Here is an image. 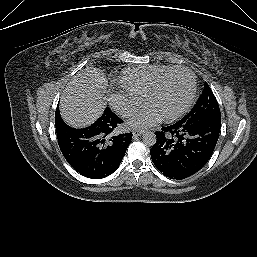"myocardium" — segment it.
I'll list each match as a JSON object with an SVG mask.
<instances>
[{
  "mask_svg": "<svg viewBox=\"0 0 257 257\" xmlns=\"http://www.w3.org/2000/svg\"><path fill=\"white\" fill-rule=\"evenodd\" d=\"M179 71H183L186 72L191 79V86H190V90L188 93V96L185 100V102L174 112L168 114V115H163L162 119L164 121H172L176 118H178L179 116H181L184 112H186V110L190 107V105L193 102V99L195 97L196 94V89H197V79L195 76V73L186 66H172L169 69H167L164 73H162L155 81L154 83L151 85V87L148 89L145 98H144V103L145 105L148 104L149 99L157 92V90L160 88V86L162 85V83L164 82V80L170 76L173 73L179 72Z\"/></svg>",
  "mask_w": 257,
  "mask_h": 257,
  "instance_id": "f54148a6",
  "label": "myocardium"
}]
</instances>
